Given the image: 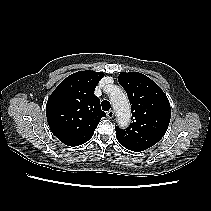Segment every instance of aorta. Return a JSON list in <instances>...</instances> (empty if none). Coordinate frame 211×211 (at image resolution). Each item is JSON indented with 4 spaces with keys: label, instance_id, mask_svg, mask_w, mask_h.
Returning <instances> with one entry per match:
<instances>
[{
    "label": "aorta",
    "instance_id": "aorta-1",
    "mask_svg": "<svg viewBox=\"0 0 211 211\" xmlns=\"http://www.w3.org/2000/svg\"><path fill=\"white\" fill-rule=\"evenodd\" d=\"M110 101L117 115V122L120 126H127L131 119V107L124 91L115 86L110 93Z\"/></svg>",
    "mask_w": 211,
    "mask_h": 211
}]
</instances>
